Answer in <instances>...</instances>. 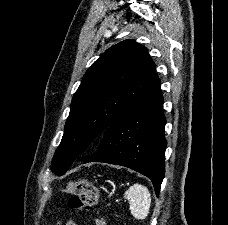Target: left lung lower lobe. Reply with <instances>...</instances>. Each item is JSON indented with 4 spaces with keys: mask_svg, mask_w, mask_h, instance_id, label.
<instances>
[{
    "mask_svg": "<svg viewBox=\"0 0 228 225\" xmlns=\"http://www.w3.org/2000/svg\"><path fill=\"white\" fill-rule=\"evenodd\" d=\"M160 80L103 134L95 153L83 163L121 165L147 176L157 196L165 174L166 139Z\"/></svg>",
    "mask_w": 228,
    "mask_h": 225,
    "instance_id": "0a47b994",
    "label": "left lung lower lobe"
}]
</instances>
